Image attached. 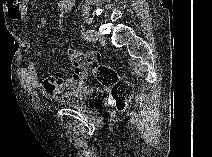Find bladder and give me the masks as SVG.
<instances>
[{"instance_id":"1","label":"bladder","mask_w":212,"mask_h":157,"mask_svg":"<svg viewBox=\"0 0 212 157\" xmlns=\"http://www.w3.org/2000/svg\"><path fill=\"white\" fill-rule=\"evenodd\" d=\"M104 96L102 88L87 86L80 90L66 93L59 101L61 105L78 109L87 113H94Z\"/></svg>"}]
</instances>
